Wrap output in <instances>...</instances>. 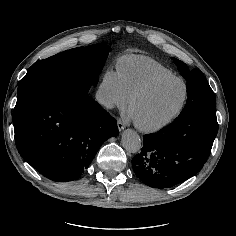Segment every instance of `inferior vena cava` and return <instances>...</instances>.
Listing matches in <instances>:
<instances>
[{"instance_id": "1", "label": "inferior vena cava", "mask_w": 236, "mask_h": 236, "mask_svg": "<svg viewBox=\"0 0 236 236\" xmlns=\"http://www.w3.org/2000/svg\"><path fill=\"white\" fill-rule=\"evenodd\" d=\"M96 100L98 103L108 106L112 103L110 92L108 90H105L103 88H99L96 93Z\"/></svg>"}]
</instances>
